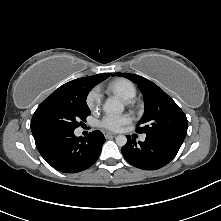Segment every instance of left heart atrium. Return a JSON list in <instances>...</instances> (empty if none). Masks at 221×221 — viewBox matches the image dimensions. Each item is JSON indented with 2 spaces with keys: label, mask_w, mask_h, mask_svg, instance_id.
<instances>
[{
  "label": "left heart atrium",
  "mask_w": 221,
  "mask_h": 221,
  "mask_svg": "<svg viewBox=\"0 0 221 221\" xmlns=\"http://www.w3.org/2000/svg\"><path fill=\"white\" fill-rule=\"evenodd\" d=\"M129 122L130 117L128 115L107 114L103 117L100 124L108 130L117 131Z\"/></svg>",
  "instance_id": "left-heart-atrium-1"
}]
</instances>
